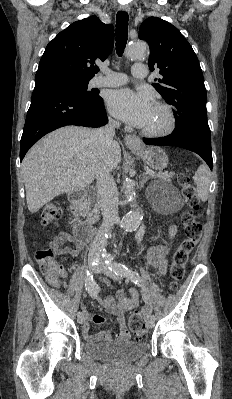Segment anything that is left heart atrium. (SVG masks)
Instances as JSON below:
<instances>
[{"mask_svg": "<svg viewBox=\"0 0 232 399\" xmlns=\"http://www.w3.org/2000/svg\"><path fill=\"white\" fill-rule=\"evenodd\" d=\"M107 107L114 117L141 128L151 117L154 104L146 93L122 89L111 92L107 99Z\"/></svg>", "mask_w": 232, "mask_h": 399, "instance_id": "39dd6f15", "label": "left heart atrium"}]
</instances>
